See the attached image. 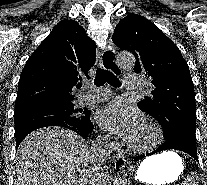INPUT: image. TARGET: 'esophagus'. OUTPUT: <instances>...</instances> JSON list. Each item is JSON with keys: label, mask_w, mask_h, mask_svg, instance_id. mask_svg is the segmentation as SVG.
<instances>
[{"label": "esophagus", "mask_w": 207, "mask_h": 185, "mask_svg": "<svg viewBox=\"0 0 207 185\" xmlns=\"http://www.w3.org/2000/svg\"><path fill=\"white\" fill-rule=\"evenodd\" d=\"M107 47H110V44H107ZM113 55H116V50L106 48L105 50H103L101 61L104 67H108L110 69V72H114L115 74L120 75L122 73V67L117 66V63L114 62L117 60V57ZM116 164V173H121V170H124L126 164L125 157L121 153L116 154L115 166Z\"/></svg>", "instance_id": "obj_1"}]
</instances>
